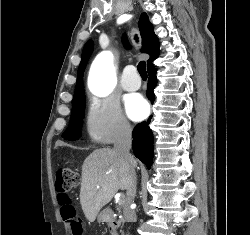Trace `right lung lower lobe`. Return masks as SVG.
I'll list each match as a JSON object with an SVG mask.
<instances>
[{
  "label": "right lung lower lobe",
  "mask_w": 250,
  "mask_h": 235,
  "mask_svg": "<svg viewBox=\"0 0 250 235\" xmlns=\"http://www.w3.org/2000/svg\"><path fill=\"white\" fill-rule=\"evenodd\" d=\"M159 56V53L147 64L149 81L147 87V96L151 103L155 100L153 92L157 85V68L152 63ZM150 117L147 122L138 124L133 130V152L149 169L153 160V133L149 128Z\"/></svg>",
  "instance_id": "98d812e1"
}]
</instances>
